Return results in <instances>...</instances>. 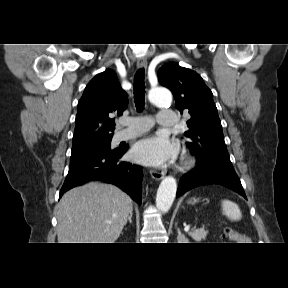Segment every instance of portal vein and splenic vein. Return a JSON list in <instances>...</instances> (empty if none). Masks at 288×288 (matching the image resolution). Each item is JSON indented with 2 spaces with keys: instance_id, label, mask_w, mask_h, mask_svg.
I'll use <instances>...</instances> for the list:
<instances>
[{
  "instance_id": "1",
  "label": "portal vein and splenic vein",
  "mask_w": 288,
  "mask_h": 288,
  "mask_svg": "<svg viewBox=\"0 0 288 288\" xmlns=\"http://www.w3.org/2000/svg\"><path fill=\"white\" fill-rule=\"evenodd\" d=\"M189 229H190V226H186V227L184 228L185 232H188Z\"/></svg>"
}]
</instances>
